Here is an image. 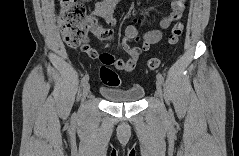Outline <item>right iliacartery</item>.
<instances>
[{"mask_svg": "<svg viewBox=\"0 0 239 156\" xmlns=\"http://www.w3.org/2000/svg\"><path fill=\"white\" fill-rule=\"evenodd\" d=\"M88 81H89V75H85V76L82 78L81 83H82V85H85L86 83H88Z\"/></svg>", "mask_w": 239, "mask_h": 156, "instance_id": "right-iliac-artery-1", "label": "right iliac artery"}]
</instances>
